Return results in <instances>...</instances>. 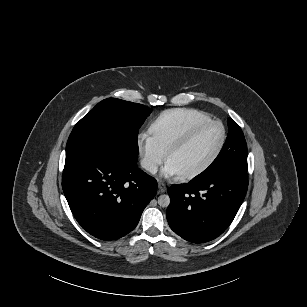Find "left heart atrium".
Here are the masks:
<instances>
[{
    "mask_svg": "<svg viewBox=\"0 0 307 307\" xmlns=\"http://www.w3.org/2000/svg\"><path fill=\"white\" fill-rule=\"evenodd\" d=\"M174 175H179V174L177 170L170 163H168L163 171V176L169 177Z\"/></svg>",
    "mask_w": 307,
    "mask_h": 307,
    "instance_id": "left-heart-atrium-1",
    "label": "left heart atrium"
}]
</instances>
